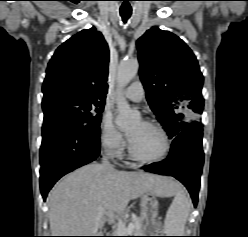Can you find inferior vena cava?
<instances>
[{
	"mask_svg": "<svg viewBox=\"0 0 248 237\" xmlns=\"http://www.w3.org/2000/svg\"><path fill=\"white\" fill-rule=\"evenodd\" d=\"M102 164L103 166L114 169L113 165L108 161V151L104 150V153L102 154Z\"/></svg>",
	"mask_w": 248,
	"mask_h": 237,
	"instance_id": "1",
	"label": "inferior vena cava"
}]
</instances>
